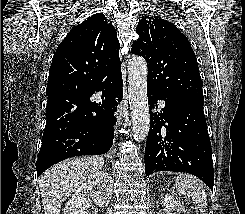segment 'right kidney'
Segmentation results:
<instances>
[{"label":"right kidney","mask_w":245,"mask_h":214,"mask_svg":"<svg viewBox=\"0 0 245 214\" xmlns=\"http://www.w3.org/2000/svg\"><path fill=\"white\" fill-rule=\"evenodd\" d=\"M113 181L109 173L98 171L92 173L86 183L79 186L72 198L67 201L64 214H87L86 206L93 200L96 206L106 207L112 197Z\"/></svg>","instance_id":"1"}]
</instances>
